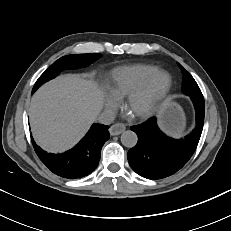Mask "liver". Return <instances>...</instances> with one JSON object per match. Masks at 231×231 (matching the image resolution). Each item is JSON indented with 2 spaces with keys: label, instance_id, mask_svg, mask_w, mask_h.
I'll list each match as a JSON object with an SVG mask.
<instances>
[{
  "label": "liver",
  "instance_id": "liver-1",
  "mask_svg": "<svg viewBox=\"0 0 231 231\" xmlns=\"http://www.w3.org/2000/svg\"><path fill=\"white\" fill-rule=\"evenodd\" d=\"M102 106V93L91 80L62 75L44 84L31 100L33 136L46 151H65L85 135Z\"/></svg>",
  "mask_w": 231,
  "mask_h": 231
}]
</instances>
